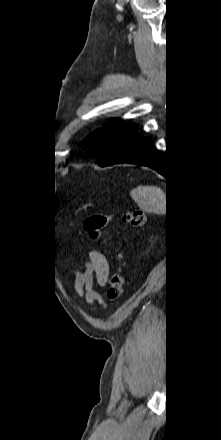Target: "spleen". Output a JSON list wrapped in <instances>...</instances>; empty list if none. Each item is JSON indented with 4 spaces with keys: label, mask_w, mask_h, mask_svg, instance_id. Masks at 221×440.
Masks as SVG:
<instances>
[{
    "label": "spleen",
    "mask_w": 221,
    "mask_h": 440,
    "mask_svg": "<svg viewBox=\"0 0 221 440\" xmlns=\"http://www.w3.org/2000/svg\"><path fill=\"white\" fill-rule=\"evenodd\" d=\"M130 196L140 209L148 213L165 212V192L157 186H138L130 191Z\"/></svg>",
    "instance_id": "3e777b00"
}]
</instances>
